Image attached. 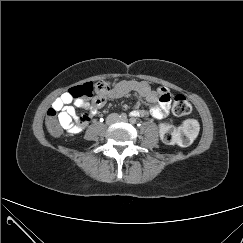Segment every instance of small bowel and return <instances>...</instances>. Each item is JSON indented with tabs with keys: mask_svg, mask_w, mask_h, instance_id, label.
Listing matches in <instances>:
<instances>
[{
	"mask_svg": "<svg viewBox=\"0 0 243 243\" xmlns=\"http://www.w3.org/2000/svg\"><path fill=\"white\" fill-rule=\"evenodd\" d=\"M132 91L139 94L147 102L153 104L148 112L145 110H133L131 112L132 116L145 117L150 115L159 120L168 117L171 95L166 100H161L158 89L153 90L144 81L121 80L114 82L107 93H97L92 101L73 98L69 92H65L53 102L52 107L59 113L58 118L61 126L69 134H78L86 127L98 109L105 105L107 99L121 98ZM75 107L89 110V114L87 115L88 121H81V118L76 113Z\"/></svg>",
	"mask_w": 243,
	"mask_h": 243,
	"instance_id": "small-bowel-1",
	"label": "small bowel"
}]
</instances>
